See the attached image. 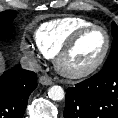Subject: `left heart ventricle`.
<instances>
[{
	"mask_svg": "<svg viewBox=\"0 0 118 118\" xmlns=\"http://www.w3.org/2000/svg\"><path fill=\"white\" fill-rule=\"evenodd\" d=\"M106 38L102 31L93 30L86 33L65 60V66L79 70L92 65L102 54Z\"/></svg>",
	"mask_w": 118,
	"mask_h": 118,
	"instance_id": "1",
	"label": "left heart ventricle"
}]
</instances>
